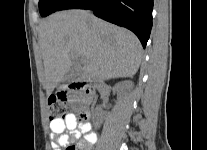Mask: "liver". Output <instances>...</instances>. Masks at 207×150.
Instances as JSON below:
<instances>
[{
	"label": "liver",
	"mask_w": 207,
	"mask_h": 150,
	"mask_svg": "<svg viewBox=\"0 0 207 150\" xmlns=\"http://www.w3.org/2000/svg\"><path fill=\"white\" fill-rule=\"evenodd\" d=\"M47 95L73 63L80 60L87 81L132 77L139 69L142 46L130 31L83 10L54 13L39 25Z\"/></svg>",
	"instance_id": "obj_1"
}]
</instances>
